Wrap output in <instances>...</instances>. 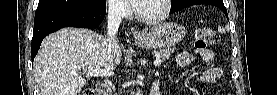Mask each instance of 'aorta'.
Wrapping results in <instances>:
<instances>
[{"label": "aorta", "mask_w": 277, "mask_h": 95, "mask_svg": "<svg viewBox=\"0 0 277 95\" xmlns=\"http://www.w3.org/2000/svg\"><path fill=\"white\" fill-rule=\"evenodd\" d=\"M136 95H141V91L138 90L137 93H136Z\"/></svg>", "instance_id": "obj_1"}]
</instances>
